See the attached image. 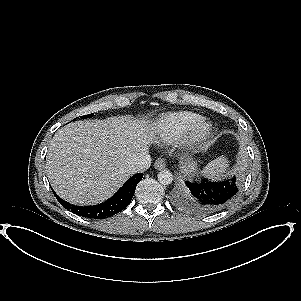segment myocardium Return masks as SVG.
<instances>
[{"label": "myocardium", "instance_id": "1", "mask_svg": "<svg viewBox=\"0 0 301 301\" xmlns=\"http://www.w3.org/2000/svg\"><path fill=\"white\" fill-rule=\"evenodd\" d=\"M213 131V123L207 118L200 117L184 133L181 139V144L188 150H196L210 139Z\"/></svg>", "mask_w": 301, "mask_h": 301}]
</instances>
